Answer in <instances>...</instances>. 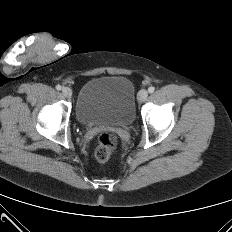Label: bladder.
Wrapping results in <instances>:
<instances>
[{"label":"bladder","instance_id":"1","mask_svg":"<svg viewBox=\"0 0 232 232\" xmlns=\"http://www.w3.org/2000/svg\"><path fill=\"white\" fill-rule=\"evenodd\" d=\"M83 125L129 126L135 119V90L123 76L95 77L81 87L75 106Z\"/></svg>","mask_w":232,"mask_h":232}]
</instances>
